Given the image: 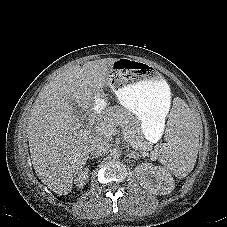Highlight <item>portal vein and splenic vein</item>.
<instances>
[{
    "label": "portal vein and splenic vein",
    "mask_w": 227,
    "mask_h": 227,
    "mask_svg": "<svg viewBox=\"0 0 227 227\" xmlns=\"http://www.w3.org/2000/svg\"><path fill=\"white\" fill-rule=\"evenodd\" d=\"M96 133L100 134V135H105V136H109L110 135V132L107 128H104V127H96ZM133 147H135L133 145Z\"/></svg>",
    "instance_id": "portal-vein-and-splenic-vein-1"
}]
</instances>
